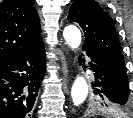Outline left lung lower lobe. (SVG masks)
Returning a JSON list of instances; mask_svg holds the SVG:
<instances>
[{
    "label": "left lung lower lobe",
    "mask_w": 133,
    "mask_h": 118,
    "mask_svg": "<svg viewBox=\"0 0 133 118\" xmlns=\"http://www.w3.org/2000/svg\"><path fill=\"white\" fill-rule=\"evenodd\" d=\"M83 51L91 59L90 69L94 71L95 76V82L92 85L96 87L94 94L99 95L117 110L125 109L129 103L126 70L94 48L83 47Z\"/></svg>",
    "instance_id": "0a47b994"
}]
</instances>
